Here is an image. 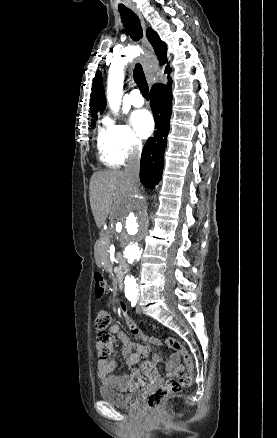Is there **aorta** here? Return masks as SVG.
<instances>
[{"instance_id":"aorta-1","label":"aorta","mask_w":277,"mask_h":438,"mask_svg":"<svg viewBox=\"0 0 277 438\" xmlns=\"http://www.w3.org/2000/svg\"><path fill=\"white\" fill-rule=\"evenodd\" d=\"M140 52L138 46H128L112 60L108 74L107 100L114 112L119 110L123 95L124 66L139 56ZM150 225L149 211L145 198L141 195L128 197L116 208L113 215L114 238L128 263L132 264L140 259ZM124 284L126 294L138 293V285L133 276H126Z\"/></svg>"}]
</instances>
